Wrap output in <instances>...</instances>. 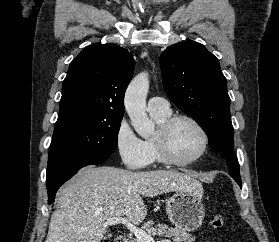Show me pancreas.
Segmentation results:
<instances>
[{
	"label": "pancreas",
	"instance_id": "obj_1",
	"mask_svg": "<svg viewBox=\"0 0 279 242\" xmlns=\"http://www.w3.org/2000/svg\"><path fill=\"white\" fill-rule=\"evenodd\" d=\"M147 233L151 236H162L171 238L173 242H194L195 237L184 230L169 227L166 224H156L147 229ZM130 242H141L138 238L132 239Z\"/></svg>",
	"mask_w": 279,
	"mask_h": 242
}]
</instances>
